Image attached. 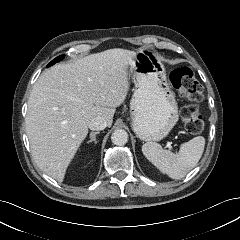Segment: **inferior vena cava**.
Here are the masks:
<instances>
[{
	"mask_svg": "<svg viewBox=\"0 0 240 240\" xmlns=\"http://www.w3.org/2000/svg\"><path fill=\"white\" fill-rule=\"evenodd\" d=\"M106 126H107V122L101 116H97L93 118L88 124L89 129L93 131L104 130Z\"/></svg>",
	"mask_w": 240,
	"mask_h": 240,
	"instance_id": "inferior-vena-cava-1",
	"label": "inferior vena cava"
}]
</instances>
